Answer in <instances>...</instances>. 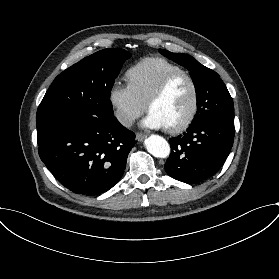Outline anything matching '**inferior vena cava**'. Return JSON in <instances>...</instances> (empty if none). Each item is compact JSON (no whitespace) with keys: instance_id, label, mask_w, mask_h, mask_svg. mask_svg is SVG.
Returning a JSON list of instances; mask_svg holds the SVG:
<instances>
[{"instance_id":"obj_1","label":"inferior vena cava","mask_w":279,"mask_h":279,"mask_svg":"<svg viewBox=\"0 0 279 279\" xmlns=\"http://www.w3.org/2000/svg\"><path fill=\"white\" fill-rule=\"evenodd\" d=\"M134 119H135L134 117H129L126 114H121L120 118H119V121L122 125L128 126L133 122Z\"/></svg>"}]
</instances>
